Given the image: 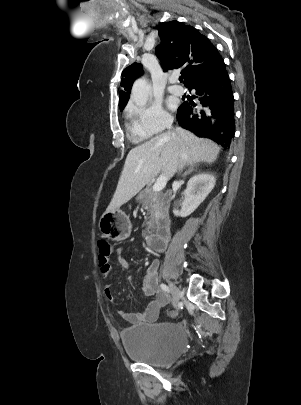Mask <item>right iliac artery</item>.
<instances>
[{
	"mask_svg": "<svg viewBox=\"0 0 301 405\" xmlns=\"http://www.w3.org/2000/svg\"><path fill=\"white\" fill-rule=\"evenodd\" d=\"M160 287H161V289H162L163 291H165L166 293H170L169 288H168L165 284H161Z\"/></svg>",
	"mask_w": 301,
	"mask_h": 405,
	"instance_id": "obj_1",
	"label": "right iliac artery"
}]
</instances>
